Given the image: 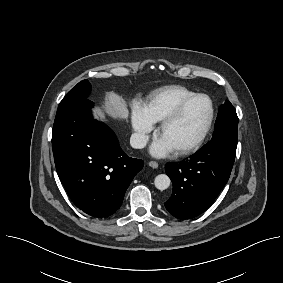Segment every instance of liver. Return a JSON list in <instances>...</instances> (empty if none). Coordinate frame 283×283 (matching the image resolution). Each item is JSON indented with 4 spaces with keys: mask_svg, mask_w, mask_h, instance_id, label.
Wrapping results in <instances>:
<instances>
[{
    "mask_svg": "<svg viewBox=\"0 0 283 283\" xmlns=\"http://www.w3.org/2000/svg\"><path fill=\"white\" fill-rule=\"evenodd\" d=\"M105 110L108 114L118 118L127 119L129 111L123 100L115 93L109 92L106 95ZM100 118H104L102 112H98Z\"/></svg>",
    "mask_w": 283,
    "mask_h": 283,
    "instance_id": "liver-1",
    "label": "liver"
}]
</instances>
